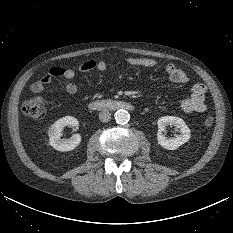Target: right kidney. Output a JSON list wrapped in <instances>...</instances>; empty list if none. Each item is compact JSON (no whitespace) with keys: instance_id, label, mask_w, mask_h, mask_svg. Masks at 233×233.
<instances>
[{"instance_id":"obj_1","label":"right kidney","mask_w":233,"mask_h":233,"mask_svg":"<svg viewBox=\"0 0 233 233\" xmlns=\"http://www.w3.org/2000/svg\"><path fill=\"white\" fill-rule=\"evenodd\" d=\"M78 125V120L73 116H65L57 120L48 130L50 145L58 151L74 150L81 142L80 134H74L69 139H61V136L64 127L75 126L78 129Z\"/></svg>"}]
</instances>
